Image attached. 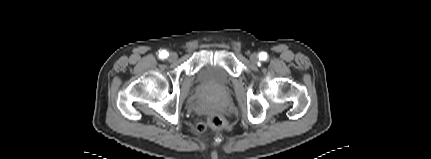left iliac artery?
<instances>
[{"mask_svg":"<svg viewBox=\"0 0 431 159\" xmlns=\"http://www.w3.org/2000/svg\"><path fill=\"white\" fill-rule=\"evenodd\" d=\"M266 58H267V53H265V52H261V53L259 54V59H261V60H266Z\"/></svg>","mask_w":431,"mask_h":159,"instance_id":"44dca946","label":"left iliac artery"}]
</instances>
